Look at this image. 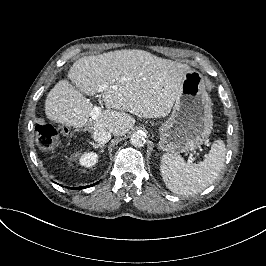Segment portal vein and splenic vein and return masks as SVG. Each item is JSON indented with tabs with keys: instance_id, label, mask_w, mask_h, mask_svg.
<instances>
[{
	"instance_id": "portal-vein-and-splenic-vein-1",
	"label": "portal vein and splenic vein",
	"mask_w": 266,
	"mask_h": 266,
	"mask_svg": "<svg viewBox=\"0 0 266 266\" xmlns=\"http://www.w3.org/2000/svg\"><path fill=\"white\" fill-rule=\"evenodd\" d=\"M108 86V85H106ZM103 110V105H95L93 107V109L91 110V117L92 118H96ZM188 163H192L193 162V158H189L187 160Z\"/></svg>"
}]
</instances>
